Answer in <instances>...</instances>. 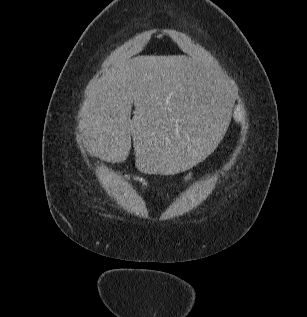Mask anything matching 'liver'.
<instances>
[{
    "label": "liver",
    "mask_w": 307,
    "mask_h": 317,
    "mask_svg": "<svg viewBox=\"0 0 307 317\" xmlns=\"http://www.w3.org/2000/svg\"><path fill=\"white\" fill-rule=\"evenodd\" d=\"M228 88L209 64L183 55L122 61L88 85L77 139L90 153L122 162L132 137L138 172L184 175L217 153L214 142L223 141L230 118Z\"/></svg>",
    "instance_id": "obj_1"
}]
</instances>
